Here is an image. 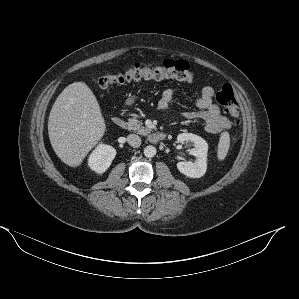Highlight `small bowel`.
<instances>
[{
    "instance_id": "c3829d8e",
    "label": "small bowel",
    "mask_w": 299,
    "mask_h": 299,
    "mask_svg": "<svg viewBox=\"0 0 299 299\" xmlns=\"http://www.w3.org/2000/svg\"><path fill=\"white\" fill-rule=\"evenodd\" d=\"M175 94L171 88H166L162 91L157 105L161 110H166L172 101ZM196 106L199 110L187 111L184 116L187 119H199L205 124V128L209 133L218 134L231 127L230 121L221 114L220 107L214 102V90L211 87H204L201 96L196 101Z\"/></svg>"
}]
</instances>
